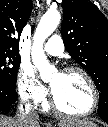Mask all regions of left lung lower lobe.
Segmentation results:
<instances>
[{"label": "left lung lower lobe", "instance_id": "1", "mask_svg": "<svg viewBox=\"0 0 108 127\" xmlns=\"http://www.w3.org/2000/svg\"><path fill=\"white\" fill-rule=\"evenodd\" d=\"M98 114H99L106 122H108V110L98 108Z\"/></svg>", "mask_w": 108, "mask_h": 127}]
</instances>
